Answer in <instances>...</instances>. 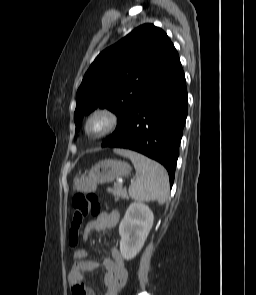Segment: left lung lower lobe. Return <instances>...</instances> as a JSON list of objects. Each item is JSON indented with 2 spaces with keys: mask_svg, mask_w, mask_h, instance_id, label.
<instances>
[{
  "mask_svg": "<svg viewBox=\"0 0 256 295\" xmlns=\"http://www.w3.org/2000/svg\"><path fill=\"white\" fill-rule=\"evenodd\" d=\"M186 117L187 89L180 63L101 146L130 149L158 161L172 186Z\"/></svg>",
  "mask_w": 256,
  "mask_h": 295,
  "instance_id": "obj_1",
  "label": "left lung lower lobe"
}]
</instances>
